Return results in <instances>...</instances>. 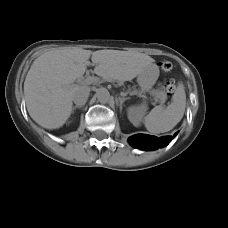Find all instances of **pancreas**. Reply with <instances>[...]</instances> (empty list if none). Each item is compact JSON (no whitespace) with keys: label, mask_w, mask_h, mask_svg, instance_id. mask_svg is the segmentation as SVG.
I'll list each match as a JSON object with an SVG mask.
<instances>
[{"label":"pancreas","mask_w":228,"mask_h":228,"mask_svg":"<svg viewBox=\"0 0 228 228\" xmlns=\"http://www.w3.org/2000/svg\"><path fill=\"white\" fill-rule=\"evenodd\" d=\"M136 92H137L136 90L130 91V93H136Z\"/></svg>","instance_id":"obj_1"}]
</instances>
